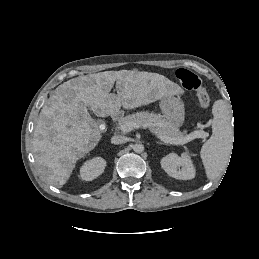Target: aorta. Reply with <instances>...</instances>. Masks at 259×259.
I'll return each instance as SVG.
<instances>
[{"label": "aorta", "mask_w": 259, "mask_h": 259, "mask_svg": "<svg viewBox=\"0 0 259 259\" xmlns=\"http://www.w3.org/2000/svg\"><path fill=\"white\" fill-rule=\"evenodd\" d=\"M133 150L136 153H142L144 151V146L142 144H135Z\"/></svg>", "instance_id": "1"}]
</instances>
